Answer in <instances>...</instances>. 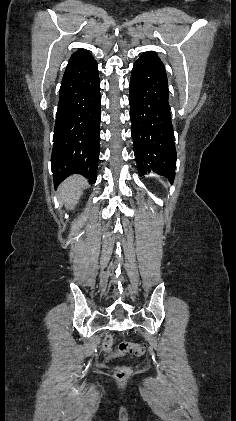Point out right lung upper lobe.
<instances>
[{"instance_id":"obj_1","label":"right lung upper lobe","mask_w":236,"mask_h":421,"mask_svg":"<svg viewBox=\"0 0 236 421\" xmlns=\"http://www.w3.org/2000/svg\"><path fill=\"white\" fill-rule=\"evenodd\" d=\"M90 53L88 51H86L85 49H79L78 51H76L75 53L72 54L70 60L82 57V56H86L89 55Z\"/></svg>"}]
</instances>
